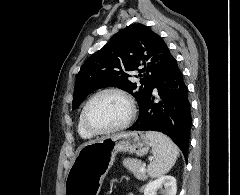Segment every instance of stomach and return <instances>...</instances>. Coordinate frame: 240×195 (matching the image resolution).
I'll return each mask as SVG.
<instances>
[{
    "label": "stomach",
    "mask_w": 240,
    "mask_h": 195,
    "mask_svg": "<svg viewBox=\"0 0 240 195\" xmlns=\"http://www.w3.org/2000/svg\"><path fill=\"white\" fill-rule=\"evenodd\" d=\"M151 143L143 131H121L80 145L66 175V195H98L119 151L146 155Z\"/></svg>",
    "instance_id": "obj_1"
}]
</instances>
